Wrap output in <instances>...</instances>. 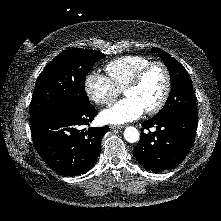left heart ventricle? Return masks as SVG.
<instances>
[{"label":"left heart ventricle","instance_id":"b2bd125f","mask_svg":"<svg viewBox=\"0 0 221 221\" xmlns=\"http://www.w3.org/2000/svg\"><path fill=\"white\" fill-rule=\"evenodd\" d=\"M165 86V77L161 68H152L141 83L124 92L126 97L134 98L144 110H147L159 101Z\"/></svg>","mask_w":221,"mask_h":221}]
</instances>
